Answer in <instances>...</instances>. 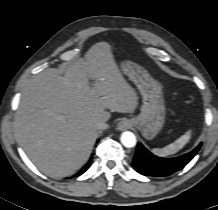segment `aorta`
Masks as SVG:
<instances>
[{"label":"aorta","mask_w":218,"mask_h":210,"mask_svg":"<svg viewBox=\"0 0 218 210\" xmlns=\"http://www.w3.org/2000/svg\"><path fill=\"white\" fill-rule=\"evenodd\" d=\"M120 140H121V143L127 148H131L136 145V137L130 131L123 132Z\"/></svg>","instance_id":"762f6f07"}]
</instances>
